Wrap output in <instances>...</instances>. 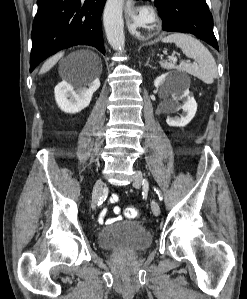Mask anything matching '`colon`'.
Wrapping results in <instances>:
<instances>
[{
    "mask_svg": "<svg viewBox=\"0 0 247 299\" xmlns=\"http://www.w3.org/2000/svg\"><path fill=\"white\" fill-rule=\"evenodd\" d=\"M124 214L127 218H136L138 217L139 215V212L136 208L134 207H127L125 210H124Z\"/></svg>",
    "mask_w": 247,
    "mask_h": 299,
    "instance_id": "1",
    "label": "colon"
}]
</instances>
